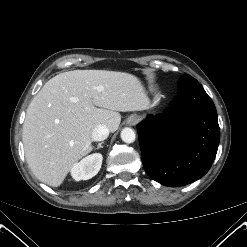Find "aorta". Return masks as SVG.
<instances>
[{"label": "aorta", "instance_id": "762f6f07", "mask_svg": "<svg viewBox=\"0 0 247 247\" xmlns=\"http://www.w3.org/2000/svg\"><path fill=\"white\" fill-rule=\"evenodd\" d=\"M120 136L125 143H133L136 138L134 130L129 127H125L124 129H122Z\"/></svg>", "mask_w": 247, "mask_h": 247}]
</instances>
